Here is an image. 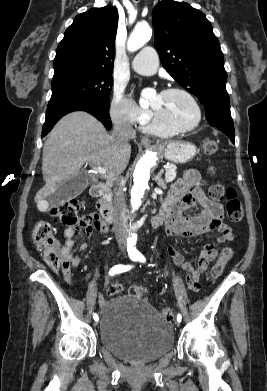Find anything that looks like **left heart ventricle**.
<instances>
[{
  "label": "left heart ventricle",
  "mask_w": 267,
  "mask_h": 391,
  "mask_svg": "<svg viewBox=\"0 0 267 391\" xmlns=\"http://www.w3.org/2000/svg\"><path fill=\"white\" fill-rule=\"evenodd\" d=\"M151 106L164 122L177 127H189L196 120L193 104L179 93L157 94Z\"/></svg>",
  "instance_id": "b2bd125f"
}]
</instances>
